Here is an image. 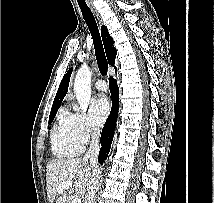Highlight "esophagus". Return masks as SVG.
I'll return each mask as SVG.
<instances>
[{
    "instance_id": "34e87169",
    "label": "esophagus",
    "mask_w": 214,
    "mask_h": 203,
    "mask_svg": "<svg viewBox=\"0 0 214 203\" xmlns=\"http://www.w3.org/2000/svg\"><path fill=\"white\" fill-rule=\"evenodd\" d=\"M92 9H93L94 13H96V15L98 16V14H97L96 10H94V8H92Z\"/></svg>"
}]
</instances>
